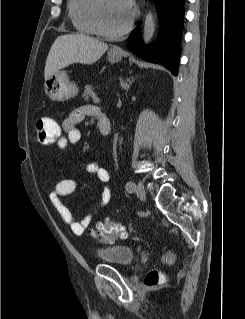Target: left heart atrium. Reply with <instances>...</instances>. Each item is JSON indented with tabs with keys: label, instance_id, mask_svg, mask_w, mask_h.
Returning a JSON list of instances; mask_svg holds the SVG:
<instances>
[{
	"label": "left heart atrium",
	"instance_id": "left-heart-atrium-1",
	"mask_svg": "<svg viewBox=\"0 0 245 319\" xmlns=\"http://www.w3.org/2000/svg\"><path fill=\"white\" fill-rule=\"evenodd\" d=\"M119 4L121 5V7L127 11V12H131L132 8H133V0H118Z\"/></svg>",
	"mask_w": 245,
	"mask_h": 319
}]
</instances>
